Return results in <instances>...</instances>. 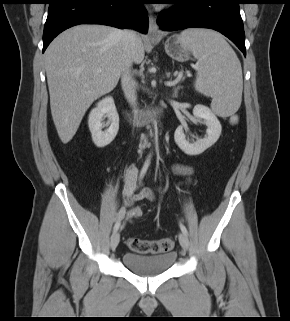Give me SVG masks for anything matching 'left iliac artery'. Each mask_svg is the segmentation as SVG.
Masks as SVG:
<instances>
[{"instance_id":"left-iliac-artery-1","label":"left iliac artery","mask_w":290,"mask_h":321,"mask_svg":"<svg viewBox=\"0 0 290 321\" xmlns=\"http://www.w3.org/2000/svg\"><path fill=\"white\" fill-rule=\"evenodd\" d=\"M180 229L184 234L188 235L187 229L182 223H180Z\"/></svg>"}]
</instances>
